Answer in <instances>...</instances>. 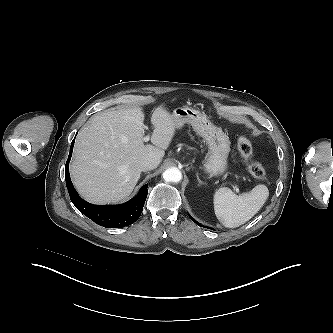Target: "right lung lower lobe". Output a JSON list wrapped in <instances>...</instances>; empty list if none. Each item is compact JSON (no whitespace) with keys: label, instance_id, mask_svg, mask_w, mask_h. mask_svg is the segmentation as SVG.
Returning <instances> with one entry per match:
<instances>
[{"label":"right lung lower lobe","instance_id":"obj_1","mask_svg":"<svg viewBox=\"0 0 333 333\" xmlns=\"http://www.w3.org/2000/svg\"><path fill=\"white\" fill-rule=\"evenodd\" d=\"M74 140L70 147L69 157L65 166V180L70 199L75 207L96 224L103 227L121 228L133 224L140 217L147 197V187H141L138 194L121 205H93L84 201L74 189L69 176V161L72 156Z\"/></svg>","mask_w":333,"mask_h":333}]
</instances>
